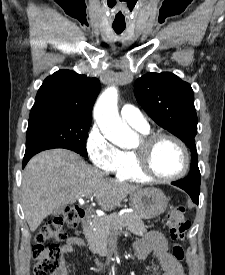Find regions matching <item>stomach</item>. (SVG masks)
I'll list each match as a JSON object with an SVG mask.
<instances>
[{"label": "stomach", "mask_w": 225, "mask_h": 275, "mask_svg": "<svg viewBox=\"0 0 225 275\" xmlns=\"http://www.w3.org/2000/svg\"><path fill=\"white\" fill-rule=\"evenodd\" d=\"M131 206L141 219H153L165 212L168 199L158 188H145L130 194Z\"/></svg>", "instance_id": "stomach-1"}]
</instances>
